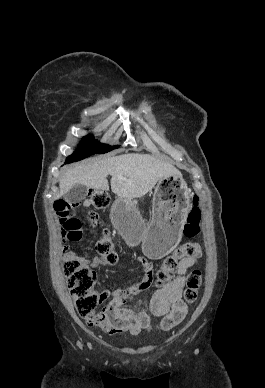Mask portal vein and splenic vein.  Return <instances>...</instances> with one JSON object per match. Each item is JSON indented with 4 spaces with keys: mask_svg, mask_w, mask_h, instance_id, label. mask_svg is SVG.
I'll list each match as a JSON object with an SVG mask.
<instances>
[{
    "mask_svg": "<svg viewBox=\"0 0 265 388\" xmlns=\"http://www.w3.org/2000/svg\"><path fill=\"white\" fill-rule=\"evenodd\" d=\"M118 178H120V180H126V178H122V176H118Z\"/></svg>",
    "mask_w": 265,
    "mask_h": 388,
    "instance_id": "1",
    "label": "portal vein and splenic vein"
}]
</instances>
